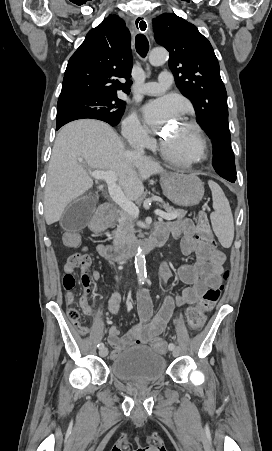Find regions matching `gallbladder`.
I'll use <instances>...</instances> for the list:
<instances>
[{
  "label": "gallbladder",
  "mask_w": 272,
  "mask_h": 451,
  "mask_svg": "<svg viewBox=\"0 0 272 451\" xmlns=\"http://www.w3.org/2000/svg\"><path fill=\"white\" fill-rule=\"evenodd\" d=\"M97 200L94 196H82L67 206L61 220L60 226L70 231H78L86 227L90 222L96 208Z\"/></svg>",
  "instance_id": "obj_1"
}]
</instances>
